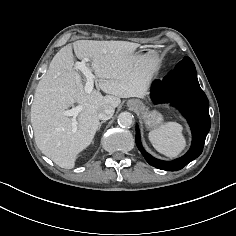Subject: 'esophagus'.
<instances>
[{"instance_id": "1", "label": "esophagus", "mask_w": 236, "mask_h": 236, "mask_svg": "<svg viewBox=\"0 0 236 236\" xmlns=\"http://www.w3.org/2000/svg\"><path fill=\"white\" fill-rule=\"evenodd\" d=\"M141 103L140 102H136V106L140 107Z\"/></svg>"}]
</instances>
